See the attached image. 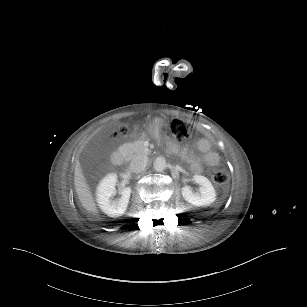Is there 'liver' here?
I'll return each instance as SVG.
<instances>
[{"mask_svg": "<svg viewBox=\"0 0 307 307\" xmlns=\"http://www.w3.org/2000/svg\"><path fill=\"white\" fill-rule=\"evenodd\" d=\"M74 185L77 192L78 198L82 206L89 212L93 214H98V208L94 201V197L89 190V186L85 180V177L82 172L80 162H76L74 170Z\"/></svg>", "mask_w": 307, "mask_h": 307, "instance_id": "liver-1", "label": "liver"}]
</instances>
